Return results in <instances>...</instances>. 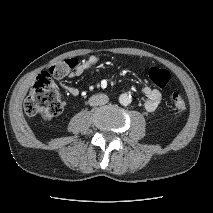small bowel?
Returning a JSON list of instances; mask_svg holds the SVG:
<instances>
[{
    "mask_svg": "<svg viewBox=\"0 0 213 213\" xmlns=\"http://www.w3.org/2000/svg\"><path fill=\"white\" fill-rule=\"evenodd\" d=\"M99 62V59L95 55H90L77 61L76 66L68 73V78L73 79L75 77L81 76L84 72L94 68ZM66 92L72 96H78L79 90L75 87L64 86ZM143 92L146 96V101L144 104L145 110L149 113L154 112L161 103L162 94L159 90L154 89L150 86H144Z\"/></svg>",
    "mask_w": 213,
    "mask_h": 213,
    "instance_id": "obj_1",
    "label": "small bowel"
}]
</instances>
